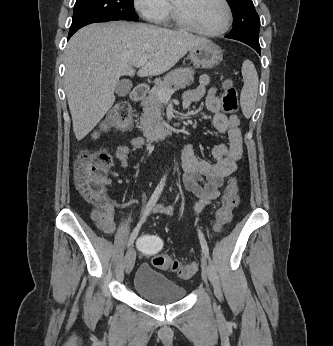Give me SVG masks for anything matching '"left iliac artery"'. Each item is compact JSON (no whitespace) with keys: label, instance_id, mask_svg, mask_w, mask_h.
Listing matches in <instances>:
<instances>
[{"label":"left iliac artery","instance_id":"obj_1","mask_svg":"<svg viewBox=\"0 0 333 346\" xmlns=\"http://www.w3.org/2000/svg\"><path fill=\"white\" fill-rule=\"evenodd\" d=\"M198 234H199V239H200L202 251H203L205 257L209 258V248L207 246V243H206V240L203 236V233L200 231V229H198Z\"/></svg>","mask_w":333,"mask_h":346}]
</instances>
